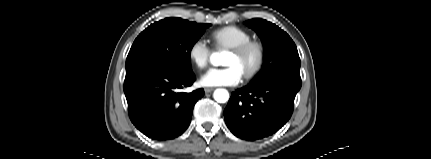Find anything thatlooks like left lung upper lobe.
Segmentation results:
<instances>
[{"label":"left lung upper lobe","instance_id":"1","mask_svg":"<svg viewBox=\"0 0 431 159\" xmlns=\"http://www.w3.org/2000/svg\"><path fill=\"white\" fill-rule=\"evenodd\" d=\"M246 25L257 32L264 45L262 70L249 85H258L277 76L300 78V58L290 36L275 24L263 19H251Z\"/></svg>","mask_w":431,"mask_h":159}]
</instances>
